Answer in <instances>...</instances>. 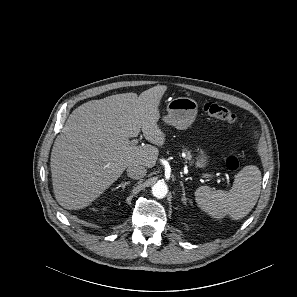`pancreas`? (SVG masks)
<instances>
[{
	"mask_svg": "<svg viewBox=\"0 0 297 297\" xmlns=\"http://www.w3.org/2000/svg\"><path fill=\"white\" fill-rule=\"evenodd\" d=\"M186 159L191 162V160H192V154H191L190 151H186Z\"/></svg>",
	"mask_w": 297,
	"mask_h": 297,
	"instance_id": "cf45deb5",
	"label": "pancreas"
}]
</instances>
